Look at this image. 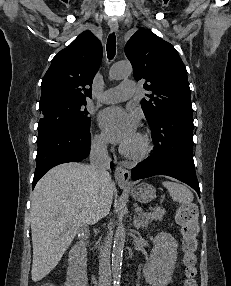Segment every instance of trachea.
<instances>
[{
  "instance_id": "trachea-1",
  "label": "trachea",
  "mask_w": 231,
  "mask_h": 286,
  "mask_svg": "<svg viewBox=\"0 0 231 286\" xmlns=\"http://www.w3.org/2000/svg\"><path fill=\"white\" fill-rule=\"evenodd\" d=\"M106 49H107L108 59L109 60L113 59L116 53V36L114 32L108 36Z\"/></svg>"
}]
</instances>
